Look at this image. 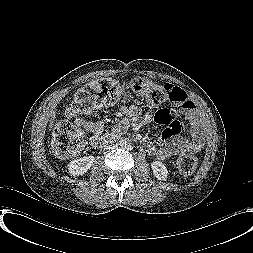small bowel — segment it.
Instances as JSON below:
<instances>
[{"mask_svg":"<svg viewBox=\"0 0 253 253\" xmlns=\"http://www.w3.org/2000/svg\"><path fill=\"white\" fill-rule=\"evenodd\" d=\"M175 89V99L172 101L178 106V111L191 124V138L183 140L177 138L180 132L178 121L174 120L173 113L168 109L160 110L156 115V120L160 124L167 125L161 134H146L143 138L144 145L148 154L158 160L166 161L174 157L187 154L198 153L203 146L204 134L198 118V112L194 102L188 94L177 87ZM121 111L129 116H137L138 109L135 106L123 107ZM147 115L145 119L150 120ZM78 126L87 133L91 134L90 143L92 146L99 147L108 139V134L104 131V125L100 121L78 120Z\"/></svg>","mask_w":253,"mask_h":253,"instance_id":"c3829d8e","label":"small bowel"}]
</instances>
